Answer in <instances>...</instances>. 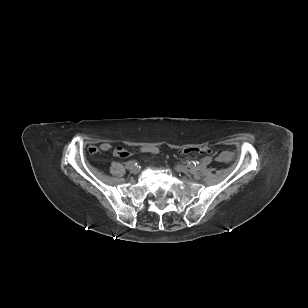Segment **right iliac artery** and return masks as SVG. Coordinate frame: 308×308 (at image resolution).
<instances>
[{"label":"right iliac artery","mask_w":308,"mask_h":308,"mask_svg":"<svg viewBox=\"0 0 308 308\" xmlns=\"http://www.w3.org/2000/svg\"><path fill=\"white\" fill-rule=\"evenodd\" d=\"M137 165V162L135 161H128L126 163V169H132L133 167H135Z\"/></svg>","instance_id":"obj_1"}]
</instances>
